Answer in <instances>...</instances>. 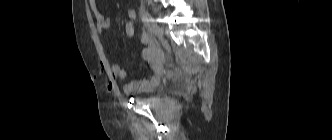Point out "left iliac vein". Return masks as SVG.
<instances>
[{"instance_id": "obj_1", "label": "left iliac vein", "mask_w": 332, "mask_h": 140, "mask_svg": "<svg viewBox=\"0 0 332 140\" xmlns=\"http://www.w3.org/2000/svg\"><path fill=\"white\" fill-rule=\"evenodd\" d=\"M152 32L156 36H160L162 34V29L159 27L158 24L153 23L152 24Z\"/></svg>"}]
</instances>
